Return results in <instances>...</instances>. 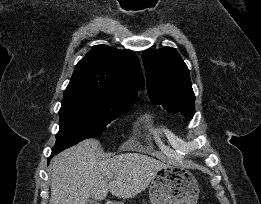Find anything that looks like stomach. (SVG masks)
I'll use <instances>...</instances> for the list:
<instances>
[{"instance_id": "stomach-1", "label": "stomach", "mask_w": 261, "mask_h": 204, "mask_svg": "<svg viewBox=\"0 0 261 204\" xmlns=\"http://www.w3.org/2000/svg\"><path fill=\"white\" fill-rule=\"evenodd\" d=\"M199 185L187 169L167 165L159 169L151 180V204H196Z\"/></svg>"}]
</instances>
